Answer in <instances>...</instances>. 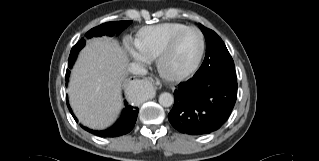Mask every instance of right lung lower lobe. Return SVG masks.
<instances>
[{"label": "right lung lower lobe", "instance_id": "1", "mask_svg": "<svg viewBox=\"0 0 319 161\" xmlns=\"http://www.w3.org/2000/svg\"><path fill=\"white\" fill-rule=\"evenodd\" d=\"M67 79L68 78H65V80ZM67 102H68V99H67ZM68 107L75 121L78 122L69 104H68ZM138 112H139L138 108L128 105V103H125V108L122 112L120 119L112 127L103 131H95L84 126H82V128H84L88 132H91L97 136H102V137H116V136L125 135L133 129L137 120Z\"/></svg>", "mask_w": 319, "mask_h": 161}]
</instances>
